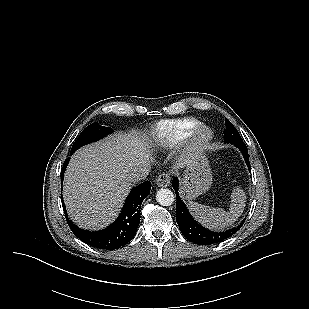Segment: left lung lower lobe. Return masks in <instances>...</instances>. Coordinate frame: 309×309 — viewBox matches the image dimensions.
<instances>
[{
	"label": "left lung lower lobe",
	"instance_id": "left-lung-lower-lobe-1",
	"mask_svg": "<svg viewBox=\"0 0 309 309\" xmlns=\"http://www.w3.org/2000/svg\"><path fill=\"white\" fill-rule=\"evenodd\" d=\"M233 144L241 150L244 159L246 161V164L250 170L251 168L246 144L244 142H236ZM172 185L176 192V221L182 234L191 242L199 245H211L222 242L227 238L231 237L233 234H235L245 222L244 220L237 227L229 229L225 232H212L202 227L192 218L186 205L180 199L178 194L179 184L177 178L173 179Z\"/></svg>",
	"mask_w": 309,
	"mask_h": 309
}]
</instances>
